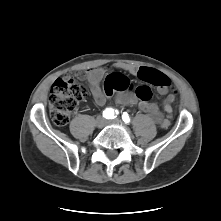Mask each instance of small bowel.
<instances>
[{"mask_svg": "<svg viewBox=\"0 0 221 221\" xmlns=\"http://www.w3.org/2000/svg\"><path fill=\"white\" fill-rule=\"evenodd\" d=\"M117 68L127 71L131 74H137L138 68L131 64L118 63ZM106 74V70L102 67L94 68L87 71L83 78L87 81L90 86L92 97L96 104L104 105L109 99L110 95L106 93L105 90L101 88V81ZM107 83H109L114 88H119L125 86L122 89H116V100L122 105L132 106L138 104L139 108L148 113L153 122L160 124L164 127L165 124L169 125L170 118L172 115V104L175 100L173 94H168V87H158L157 92L160 95H165L163 101V110L166 114L164 116L157 105L153 101H144L139 99L135 93L130 92L129 89V79L121 73H112L108 76Z\"/></svg>", "mask_w": 221, "mask_h": 221, "instance_id": "small-bowel-1", "label": "small bowel"}]
</instances>
